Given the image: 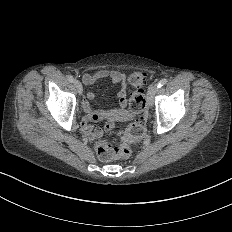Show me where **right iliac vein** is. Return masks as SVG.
Masks as SVG:
<instances>
[{
	"label": "right iliac vein",
	"mask_w": 232,
	"mask_h": 232,
	"mask_svg": "<svg viewBox=\"0 0 232 232\" xmlns=\"http://www.w3.org/2000/svg\"><path fill=\"white\" fill-rule=\"evenodd\" d=\"M73 84L76 86L78 94H81V92H82V89H81L82 85L80 84V81L79 80H74Z\"/></svg>",
	"instance_id": "63e3f726"
}]
</instances>
